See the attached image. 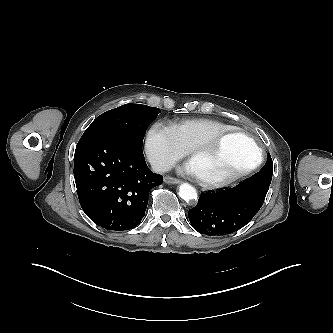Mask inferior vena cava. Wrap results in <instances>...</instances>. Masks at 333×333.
Masks as SVG:
<instances>
[{
    "label": "inferior vena cava",
    "instance_id": "obj_1",
    "mask_svg": "<svg viewBox=\"0 0 333 333\" xmlns=\"http://www.w3.org/2000/svg\"><path fill=\"white\" fill-rule=\"evenodd\" d=\"M150 165L152 171L156 173H164L170 170L171 168V165L168 162L161 159H152L150 161Z\"/></svg>",
    "mask_w": 333,
    "mask_h": 333
}]
</instances>
